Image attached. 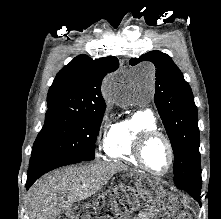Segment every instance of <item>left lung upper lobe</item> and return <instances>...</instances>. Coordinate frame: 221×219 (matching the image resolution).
Listing matches in <instances>:
<instances>
[{
    "instance_id": "obj_1",
    "label": "left lung upper lobe",
    "mask_w": 221,
    "mask_h": 219,
    "mask_svg": "<svg viewBox=\"0 0 221 219\" xmlns=\"http://www.w3.org/2000/svg\"><path fill=\"white\" fill-rule=\"evenodd\" d=\"M151 61L156 67L155 104L174 152V182L180 189H201L199 128L192 90L183 74L165 53L154 50L131 65Z\"/></svg>"
}]
</instances>
